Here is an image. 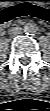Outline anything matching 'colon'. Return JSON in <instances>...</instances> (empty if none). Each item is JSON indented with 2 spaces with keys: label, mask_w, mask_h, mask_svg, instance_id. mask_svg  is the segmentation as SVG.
<instances>
[{
  "label": "colon",
  "mask_w": 50,
  "mask_h": 111,
  "mask_svg": "<svg viewBox=\"0 0 50 111\" xmlns=\"http://www.w3.org/2000/svg\"><path fill=\"white\" fill-rule=\"evenodd\" d=\"M24 17H34L43 21H50V10L34 3L23 2L3 9L0 13V24L5 26L14 19Z\"/></svg>",
  "instance_id": "1"
}]
</instances>
